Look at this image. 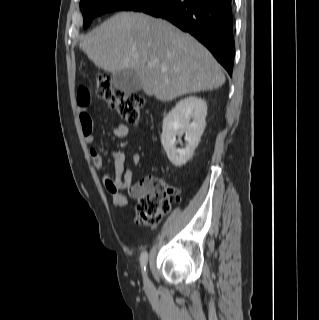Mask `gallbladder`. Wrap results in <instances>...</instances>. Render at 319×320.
<instances>
[{
	"label": "gallbladder",
	"instance_id": "bac80fb5",
	"mask_svg": "<svg viewBox=\"0 0 319 320\" xmlns=\"http://www.w3.org/2000/svg\"><path fill=\"white\" fill-rule=\"evenodd\" d=\"M112 83L116 89L127 95L141 89L140 80L132 70H124L113 74Z\"/></svg>",
	"mask_w": 319,
	"mask_h": 320
}]
</instances>
